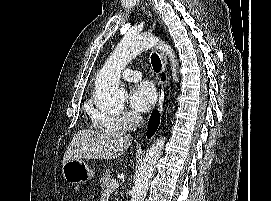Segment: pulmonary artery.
Returning a JSON list of instances; mask_svg holds the SVG:
<instances>
[{
	"label": "pulmonary artery",
	"mask_w": 271,
	"mask_h": 201,
	"mask_svg": "<svg viewBox=\"0 0 271 201\" xmlns=\"http://www.w3.org/2000/svg\"><path fill=\"white\" fill-rule=\"evenodd\" d=\"M121 75L126 81L130 82L138 81L142 77V73L139 70L131 68L123 70Z\"/></svg>",
	"instance_id": "1"
}]
</instances>
